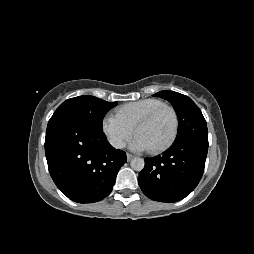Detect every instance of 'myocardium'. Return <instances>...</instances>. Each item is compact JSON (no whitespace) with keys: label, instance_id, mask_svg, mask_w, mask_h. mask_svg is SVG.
<instances>
[{"label":"myocardium","instance_id":"f54148a6","mask_svg":"<svg viewBox=\"0 0 254 254\" xmlns=\"http://www.w3.org/2000/svg\"><path fill=\"white\" fill-rule=\"evenodd\" d=\"M165 109L170 110L172 115H173V119H174L173 130H172V133H171L170 137L163 144H161L160 146H158L156 148L149 149L151 153H160V152L166 150L174 142V140L176 139L178 129H179V116H178L177 110L172 105L163 104V105L155 108L154 110H152L146 116H144L141 120L138 121V123L134 127V131L137 134V131L139 130V128H141L142 126L148 124L161 111H163Z\"/></svg>","mask_w":254,"mask_h":254}]
</instances>
